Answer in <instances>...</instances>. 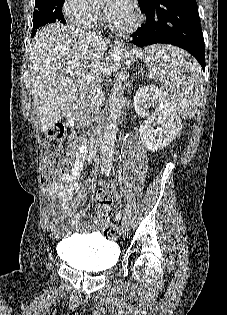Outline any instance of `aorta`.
Here are the masks:
<instances>
[{"instance_id":"762f6f07","label":"aorta","mask_w":227,"mask_h":315,"mask_svg":"<svg viewBox=\"0 0 227 315\" xmlns=\"http://www.w3.org/2000/svg\"><path fill=\"white\" fill-rule=\"evenodd\" d=\"M91 3H100L103 0H89ZM119 93L117 94L116 99L111 105L110 114L108 121L105 127V132L103 136V143L101 147V160L112 161L114 146L116 140V134L118 131V123L121 115L124 97H123V87L118 85Z\"/></svg>"}]
</instances>
